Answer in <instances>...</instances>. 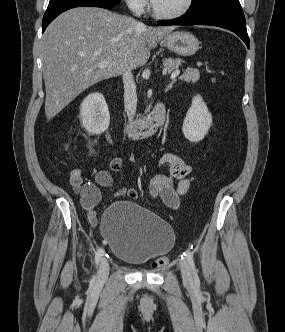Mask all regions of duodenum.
Returning <instances> with one entry per match:
<instances>
[{"label":"duodenum","instance_id":"410a0bca","mask_svg":"<svg viewBox=\"0 0 285 332\" xmlns=\"http://www.w3.org/2000/svg\"><path fill=\"white\" fill-rule=\"evenodd\" d=\"M166 121V111L163 104H158L152 114L138 122L130 123L125 131L131 138L141 139L154 135Z\"/></svg>","mask_w":285,"mask_h":332}]
</instances>
